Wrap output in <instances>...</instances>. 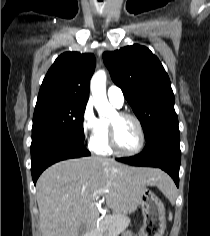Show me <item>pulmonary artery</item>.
<instances>
[{"label": "pulmonary artery", "mask_w": 210, "mask_h": 236, "mask_svg": "<svg viewBox=\"0 0 210 236\" xmlns=\"http://www.w3.org/2000/svg\"><path fill=\"white\" fill-rule=\"evenodd\" d=\"M107 96L109 101L116 107H122L123 103H124V94L122 92V90L117 87V86H111L109 87L108 91H107Z\"/></svg>", "instance_id": "e3ab8cb5"}]
</instances>
